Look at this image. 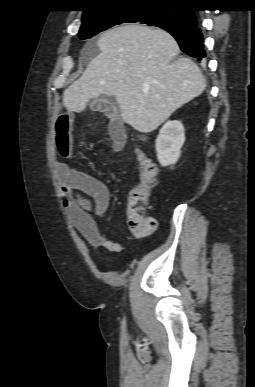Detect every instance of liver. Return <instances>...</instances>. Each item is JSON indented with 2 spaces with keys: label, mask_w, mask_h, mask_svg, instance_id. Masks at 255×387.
<instances>
[{
  "label": "liver",
  "mask_w": 255,
  "mask_h": 387,
  "mask_svg": "<svg viewBox=\"0 0 255 387\" xmlns=\"http://www.w3.org/2000/svg\"><path fill=\"white\" fill-rule=\"evenodd\" d=\"M97 46L100 53L63 92L68 111L81 112L92 98L114 96L121 120L149 133L206 87L199 67L187 57L176 58L179 46L162 29L115 27Z\"/></svg>",
  "instance_id": "obj_1"
}]
</instances>
